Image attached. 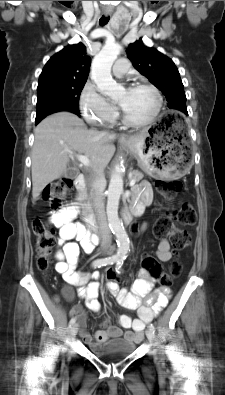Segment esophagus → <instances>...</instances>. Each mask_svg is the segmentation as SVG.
<instances>
[{
    "mask_svg": "<svg viewBox=\"0 0 225 395\" xmlns=\"http://www.w3.org/2000/svg\"><path fill=\"white\" fill-rule=\"evenodd\" d=\"M106 15H108V14H106ZM127 139H128V136L126 134L120 135V140H127Z\"/></svg>",
    "mask_w": 225,
    "mask_h": 395,
    "instance_id": "obj_1",
    "label": "esophagus"
}]
</instances>
